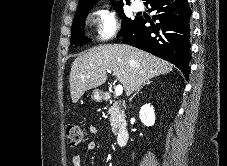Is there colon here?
Returning a JSON list of instances; mask_svg holds the SVG:
<instances>
[{
  "label": "colon",
  "mask_w": 227,
  "mask_h": 166,
  "mask_svg": "<svg viewBox=\"0 0 227 166\" xmlns=\"http://www.w3.org/2000/svg\"><path fill=\"white\" fill-rule=\"evenodd\" d=\"M66 136L69 146L75 147L84 143L87 139L86 133L77 125H68L66 128Z\"/></svg>",
  "instance_id": "1"
}]
</instances>
